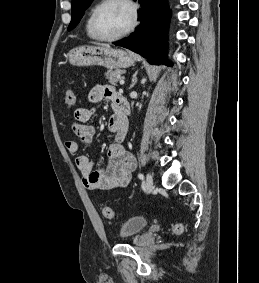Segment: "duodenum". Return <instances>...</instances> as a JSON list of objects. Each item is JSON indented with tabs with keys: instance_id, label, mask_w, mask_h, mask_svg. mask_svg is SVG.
<instances>
[{
	"instance_id": "410a0bca",
	"label": "duodenum",
	"mask_w": 259,
	"mask_h": 283,
	"mask_svg": "<svg viewBox=\"0 0 259 283\" xmlns=\"http://www.w3.org/2000/svg\"><path fill=\"white\" fill-rule=\"evenodd\" d=\"M116 115H117L118 124L121 126H127L128 124L127 103L125 99L120 95L116 103Z\"/></svg>"
}]
</instances>
